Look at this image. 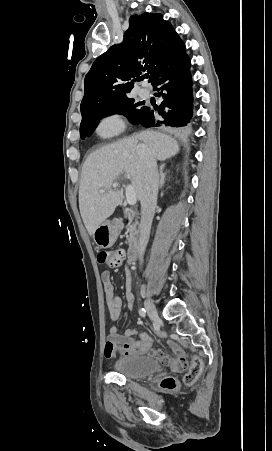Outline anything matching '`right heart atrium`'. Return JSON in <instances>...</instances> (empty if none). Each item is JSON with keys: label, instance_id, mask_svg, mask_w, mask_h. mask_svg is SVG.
<instances>
[{"label": "right heart atrium", "instance_id": "right-heart-atrium-1", "mask_svg": "<svg viewBox=\"0 0 272 451\" xmlns=\"http://www.w3.org/2000/svg\"><path fill=\"white\" fill-rule=\"evenodd\" d=\"M122 125V121L119 117L113 116L103 121L99 127L101 134L107 135L118 130Z\"/></svg>", "mask_w": 272, "mask_h": 451}]
</instances>
